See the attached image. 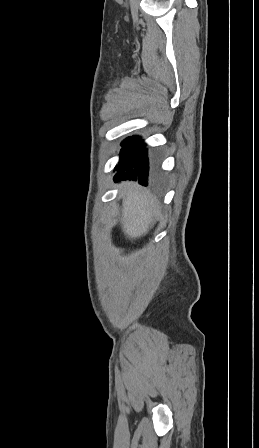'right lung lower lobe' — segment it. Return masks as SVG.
<instances>
[{
    "mask_svg": "<svg viewBox=\"0 0 259 448\" xmlns=\"http://www.w3.org/2000/svg\"><path fill=\"white\" fill-rule=\"evenodd\" d=\"M120 160L115 167L114 181L133 180L147 185L149 176L148 149L140 136L126 138L121 143Z\"/></svg>",
    "mask_w": 259,
    "mask_h": 448,
    "instance_id": "right-lung-lower-lobe-1",
    "label": "right lung lower lobe"
}]
</instances>
